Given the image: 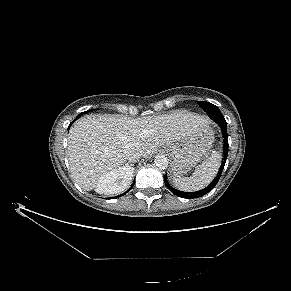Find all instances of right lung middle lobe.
I'll return each instance as SVG.
<instances>
[{"label":"right lung middle lobe","mask_w":291,"mask_h":291,"mask_svg":"<svg viewBox=\"0 0 291 291\" xmlns=\"http://www.w3.org/2000/svg\"><path fill=\"white\" fill-rule=\"evenodd\" d=\"M82 114H83V113H80V114L77 116V118H79Z\"/></svg>","instance_id":"dd1d6c3e"}]
</instances>
